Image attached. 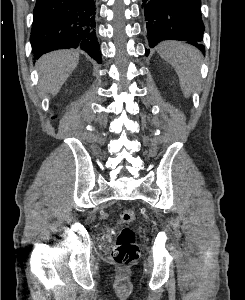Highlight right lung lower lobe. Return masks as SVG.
<instances>
[{
  "label": "right lung lower lobe",
  "mask_w": 245,
  "mask_h": 300,
  "mask_svg": "<svg viewBox=\"0 0 245 300\" xmlns=\"http://www.w3.org/2000/svg\"><path fill=\"white\" fill-rule=\"evenodd\" d=\"M95 0H37L30 41L34 57L56 49L81 48L98 63Z\"/></svg>",
  "instance_id": "obj_1"
}]
</instances>
